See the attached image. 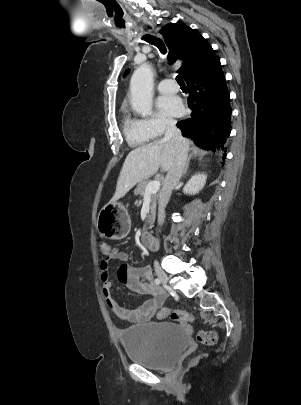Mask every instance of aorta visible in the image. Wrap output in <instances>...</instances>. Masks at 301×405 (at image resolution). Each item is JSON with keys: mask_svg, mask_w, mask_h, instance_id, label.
Listing matches in <instances>:
<instances>
[{"mask_svg": "<svg viewBox=\"0 0 301 405\" xmlns=\"http://www.w3.org/2000/svg\"><path fill=\"white\" fill-rule=\"evenodd\" d=\"M133 109L145 116L151 112L153 97V74L146 66L137 68L130 81Z\"/></svg>", "mask_w": 301, "mask_h": 405, "instance_id": "obj_1", "label": "aorta"}]
</instances>
